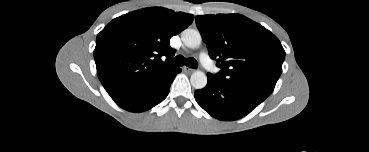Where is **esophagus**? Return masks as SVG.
Segmentation results:
<instances>
[{
  "label": "esophagus",
  "instance_id": "esophagus-1",
  "mask_svg": "<svg viewBox=\"0 0 369 152\" xmlns=\"http://www.w3.org/2000/svg\"><path fill=\"white\" fill-rule=\"evenodd\" d=\"M183 71L186 72V73H192V72H194V69L184 66Z\"/></svg>",
  "mask_w": 369,
  "mask_h": 152
}]
</instances>
